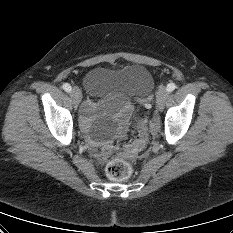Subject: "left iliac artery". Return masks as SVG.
Wrapping results in <instances>:
<instances>
[{
	"label": "left iliac artery",
	"instance_id": "44dca946",
	"mask_svg": "<svg viewBox=\"0 0 233 233\" xmlns=\"http://www.w3.org/2000/svg\"><path fill=\"white\" fill-rule=\"evenodd\" d=\"M175 88H176L175 83H169V84L167 85V91H168V92L174 91Z\"/></svg>",
	"mask_w": 233,
	"mask_h": 233
}]
</instances>
